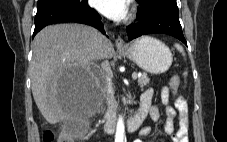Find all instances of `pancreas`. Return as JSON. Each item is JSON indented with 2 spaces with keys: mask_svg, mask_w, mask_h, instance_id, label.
<instances>
[{
  "mask_svg": "<svg viewBox=\"0 0 227 142\" xmlns=\"http://www.w3.org/2000/svg\"><path fill=\"white\" fill-rule=\"evenodd\" d=\"M149 83V77L147 74H142L140 77H138V85L141 87L147 86ZM122 101L124 104L128 103V100L126 98H122ZM114 108L117 107V103L114 102L113 104Z\"/></svg>",
  "mask_w": 227,
  "mask_h": 142,
  "instance_id": "1",
  "label": "pancreas"
}]
</instances>
